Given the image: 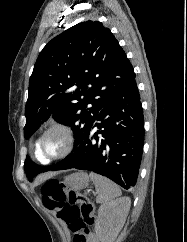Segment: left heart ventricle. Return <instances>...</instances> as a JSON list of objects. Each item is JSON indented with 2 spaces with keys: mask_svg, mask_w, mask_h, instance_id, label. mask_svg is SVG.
Returning <instances> with one entry per match:
<instances>
[{
  "mask_svg": "<svg viewBox=\"0 0 187 242\" xmlns=\"http://www.w3.org/2000/svg\"><path fill=\"white\" fill-rule=\"evenodd\" d=\"M65 146V138L60 132L49 133L42 142V151L47 156L59 154Z\"/></svg>",
  "mask_w": 187,
  "mask_h": 242,
  "instance_id": "obj_1",
  "label": "left heart ventricle"
}]
</instances>
